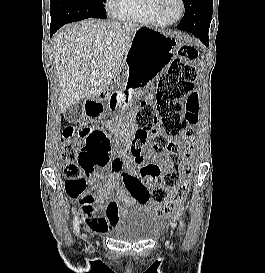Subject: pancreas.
Segmentation results:
<instances>
[{
  "label": "pancreas",
  "instance_id": "obj_1",
  "mask_svg": "<svg viewBox=\"0 0 265 273\" xmlns=\"http://www.w3.org/2000/svg\"><path fill=\"white\" fill-rule=\"evenodd\" d=\"M125 75H126V74H125V73H123L121 77H124ZM117 83H119V80H117Z\"/></svg>",
  "mask_w": 265,
  "mask_h": 273
}]
</instances>
